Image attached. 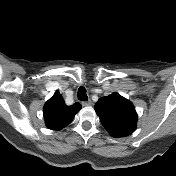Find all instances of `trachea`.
I'll return each instance as SVG.
<instances>
[{
  "label": "trachea",
  "mask_w": 176,
  "mask_h": 176,
  "mask_svg": "<svg viewBox=\"0 0 176 176\" xmlns=\"http://www.w3.org/2000/svg\"><path fill=\"white\" fill-rule=\"evenodd\" d=\"M77 96H78V99L81 100V101H87L88 100L86 89L84 87H80L78 89Z\"/></svg>",
  "instance_id": "trachea-1"
}]
</instances>
